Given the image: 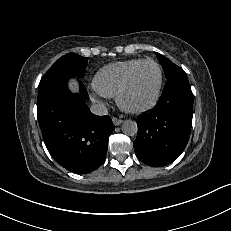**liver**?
<instances>
[{
  "instance_id": "1",
  "label": "liver",
  "mask_w": 231,
  "mask_h": 231,
  "mask_svg": "<svg viewBox=\"0 0 231 231\" xmlns=\"http://www.w3.org/2000/svg\"><path fill=\"white\" fill-rule=\"evenodd\" d=\"M70 89L74 92V91H77V83L72 81L70 84Z\"/></svg>"
}]
</instances>
